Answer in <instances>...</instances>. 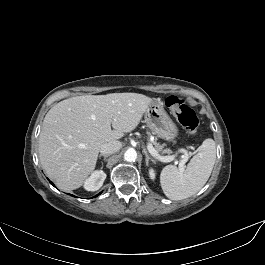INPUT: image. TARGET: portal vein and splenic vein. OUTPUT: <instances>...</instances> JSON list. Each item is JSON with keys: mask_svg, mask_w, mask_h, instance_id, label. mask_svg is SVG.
I'll use <instances>...</instances> for the list:
<instances>
[{"mask_svg": "<svg viewBox=\"0 0 265 265\" xmlns=\"http://www.w3.org/2000/svg\"><path fill=\"white\" fill-rule=\"evenodd\" d=\"M147 149L149 151V153L156 157L157 159H159L161 162H171L175 159L176 155H171V156H161L156 150L155 148L152 146L151 143H148L147 145ZM180 152H184L186 154V150L184 149H181ZM187 161V154L186 156L184 157L183 160H181L179 162V169L180 171L184 172L185 170V162Z\"/></svg>", "mask_w": 265, "mask_h": 265, "instance_id": "portal-vein-and-splenic-vein-1", "label": "portal vein and splenic vein"}]
</instances>
